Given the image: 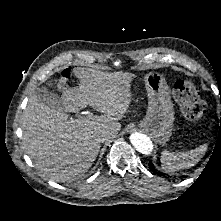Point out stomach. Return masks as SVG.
<instances>
[{
	"label": "stomach",
	"instance_id": "1",
	"mask_svg": "<svg viewBox=\"0 0 221 221\" xmlns=\"http://www.w3.org/2000/svg\"><path fill=\"white\" fill-rule=\"evenodd\" d=\"M148 95L146 116L139 127L148 132L159 144H164L172 134L174 110L170 90L160 73L151 72L145 76Z\"/></svg>",
	"mask_w": 221,
	"mask_h": 221
}]
</instances>
